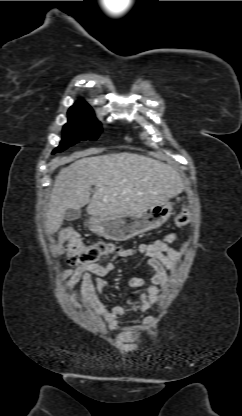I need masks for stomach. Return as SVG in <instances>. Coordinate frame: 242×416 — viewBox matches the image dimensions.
<instances>
[{"label": "stomach", "instance_id": "1", "mask_svg": "<svg viewBox=\"0 0 242 416\" xmlns=\"http://www.w3.org/2000/svg\"><path fill=\"white\" fill-rule=\"evenodd\" d=\"M172 211V203L166 201L140 213L107 217L92 216L89 219V228L93 233L106 239L126 241L157 229L170 218Z\"/></svg>", "mask_w": 242, "mask_h": 416}]
</instances>
